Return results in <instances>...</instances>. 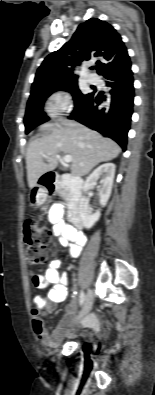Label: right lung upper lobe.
<instances>
[{"instance_id":"1","label":"right lung upper lobe","mask_w":155,"mask_h":395,"mask_svg":"<svg viewBox=\"0 0 155 395\" xmlns=\"http://www.w3.org/2000/svg\"><path fill=\"white\" fill-rule=\"evenodd\" d=\"M92 57L100 58L97 61L100 75L131 64L125 44L112 25L91 18L79 25L69 42L45 58L37 70L30 97L47 86L78 80L74 68Z\"/></svg>"}]
</instances>
